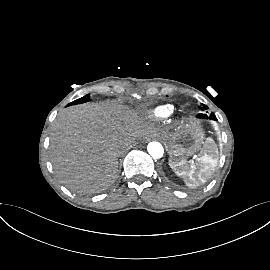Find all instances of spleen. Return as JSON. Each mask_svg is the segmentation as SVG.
I'll return each instance as SVG.
<instances>
[{"instance_id": "obj_1", "label": "spleen", "mask_w": 270, "mask_h": 270, "mask_svg": "<svg viewBox=\"0 0 270 270\" xmlns=\"http://www.w3.org/2000/svg\"><path fill=\"white\" fill-rule=\"evenodd\" d=\"M218 153L214 142L211 139H207L201 149V156L196 163L188 164L186 161L181 163L183 170L181 173H176L179 176H188L193 182L196 181V177L201 182H206L211 173L217 166V159L215 154Z\"/></svg>"}]
</instances>
